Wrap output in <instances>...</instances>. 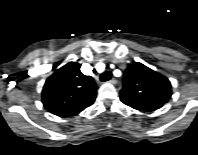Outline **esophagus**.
I'll use <instances>...</instances> for the list:
<instances>
[{
	"label": "esophagus",
	"mask_w": 198,
	"mask_h": 155,
	"mask_svg": "<svg viewBox=\"0 0 198 155\" xmlns=\"http://www.w3.org/2000/svg\"><path fill=\"white\" fill-rule=\"evenodd\" d=\"M109 83H111V84H117V80L115 79V78H112L110 81H109Z\"/></svg>",
	"instance_id": "1"
}]
</instances>
